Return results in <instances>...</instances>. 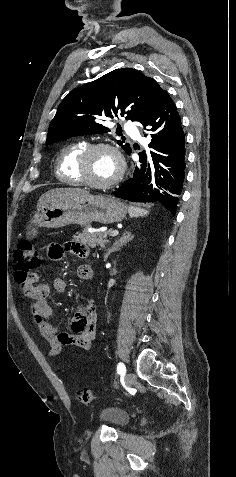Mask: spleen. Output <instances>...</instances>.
Wrapping results in <instances>:
<instances>
[{"label": "spleen", "instance_id": "obj_1", "mask_svg": "<svg viewBox=\"0 0 236 477\" xmlns=\"http://www.w3.org/2000/svg\"><path fill=\"white\" fill-rule=\"evenodd\" d=\"M128 212L131 218L144 217L149 214L147 210L132 205L129 206Z\"/></svg>", "mask_w": 236, "mask_h": 477}]
</instances>
